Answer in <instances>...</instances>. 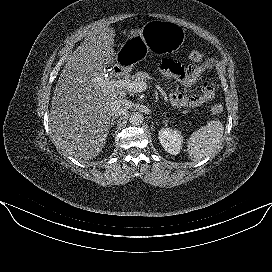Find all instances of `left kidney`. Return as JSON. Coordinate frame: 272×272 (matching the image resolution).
I'll return each mask as SVG.
<instances>
[{
	"mask_svg": "<svg viewBox=\"0 0 272 272\" xmlns=\"http://www.w3.org/2000/svg\"><path fill=\"white\" fill-rule=\"evenodd\" d=\"M158 135L159 141L166 152L172 155L179 154L183 143L181 131L166 127L161 128Z\"/></svg>",
	"mask_w": 272,
	"mask_h": 272,
	"instance_id": "1",
	"label": "left kidney"
}]
</instances>
